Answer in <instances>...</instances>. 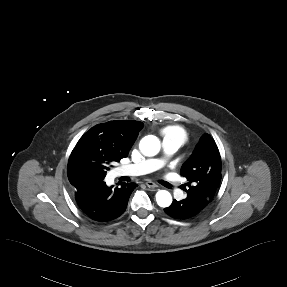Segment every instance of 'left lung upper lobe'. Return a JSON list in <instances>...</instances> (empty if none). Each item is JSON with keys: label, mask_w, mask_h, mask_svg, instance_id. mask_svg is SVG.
<instances>
[{"label": "left lung upper lobe", "mask_w": 287, "mask_h": 287, "mask_svg": "<svg viewBox=\"0 0 287 287\" xmlns=\"http://www.w3.org/2000/svg\"><path fill=\"white\" fill-rule=\"evenodd\" d=\"M181 175L188 180L187 198L205 208L214 198L221 180V157L210 135L200 138L192 156L183 164Z\"/></svg>", "instance_id": "1"}]
</instances>
